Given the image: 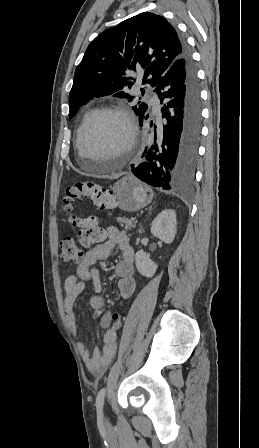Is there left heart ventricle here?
Wrapping results in <instances>:
<instances>
[{"mask_svg":"<svg viewBox=\"0 0 259 448\" xmlns=\"http://www.w3.org/2000/svg\"><path fill=\"white\" fill-rule=\"evenodd\" d=\"M127 126L117 114H106L94 121L84 136L81 161L105 162L117 156L116 148L127 138Z\"/></svg>","mask_w":259,"mask_h":448,"instance_id":"b2bd125f","label":"left heart ventricle"}]
</instances>
